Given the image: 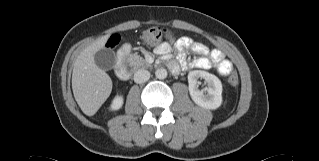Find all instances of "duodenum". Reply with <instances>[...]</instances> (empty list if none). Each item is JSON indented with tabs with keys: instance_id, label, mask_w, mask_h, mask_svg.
I'll return each mask as SVG.
<instances>
[{
	"instance_id": "obj_1",
	"label": "duodenum",
	"mask_w": 319,
	"mask_h": 161,
	"mask_svg": "<svg viewBox=\"0 0 319 161\" xmlns=\"http://www.w3.org/2000/svg\"><path fill=\"white\" fill-rule=\"evenodd\" d=\"M129 47L122 46L116 54V74L120 80H128L131 76L130 69L127 65V56ZM173 67V66H171Z\"/></svg>"
}]
</instances>
